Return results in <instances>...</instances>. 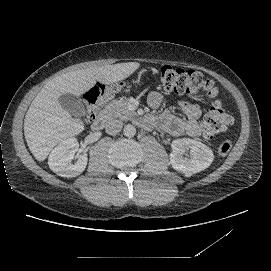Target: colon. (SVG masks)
I'll use <instances>...</instances> for the list:
<instances>
[{
	"label": "colon",
	"mask_w": 271,
	"mask_h": 271,
	"mask_svg": "<svg viewBox=\"0 0 271 271\" xmlns=\"http://www.w3.org/2000/svg\"><path fill=\"white\" fill-rule=\"evenodd\" d=\"M160 88L166 92L194 95L204 92L214 99L213 107L201 121V130L206 138H212L224 132L233 124V118L225 111L220 101L216 100L218 90L213 81L194 70L174 69L164 66L160 72ZM111 87L98 82L86 94L87 111L85 120L90 121L96 109L103 105L109 97ZM232 148L230 140L222 141L218 146V154L226 156Z\"/></svg>",
	"instance_id": "obj_1"
}]
</instances>
